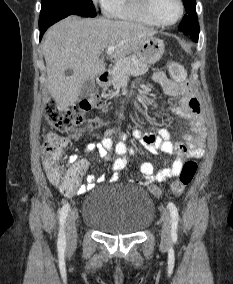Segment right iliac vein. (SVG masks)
Segmentation results:
<instances>
[{"instance_id": "1", "label": "right iliac vein", "mask_w": 233, "mask_h": 284, "mask_svg": "<svg viewBox=\"0 0 233 284\" xmlns=\"http://www.w3.org/2000/svg\"><path fill=\"white\" fill-rule=\"evenodd\" d=\"M77 211L70 210L66 219V239L68 248H73L76 244L77 229H76Z\"/></svg>"}]
</instances>
